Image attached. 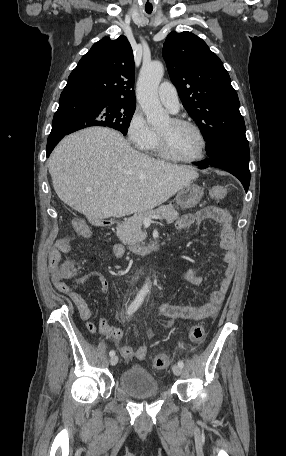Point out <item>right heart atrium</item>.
I'll return each instance as SVG.
<instances>
[{
    "mask_svg": "<svg viewBox=\"0 0 286 456\" xmlns=\"http://www.w3.org/2000/svg\"><path fill=\"white\" fill-rule=\"evenodd\" d=\"M126 135L130 144L139 149H146L155 137L154 130L138 108L133 111L127 123Z\"/></svg>",
    "mask_w": 286,
    "mask_h": 456,
    "instance_id": "1",
    "label": "right heart atrium"
}]
</instances>
